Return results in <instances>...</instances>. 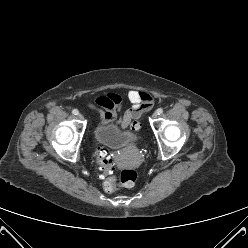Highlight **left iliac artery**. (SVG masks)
<instances>
[{"label":"left iliac artery","instance_id":"1","mask_svg":"<svg viewBox=\"0 0 248 248\" xmlns=\"http://www.w3.org/2000/svg\"><path fill=\"white\" fill-rule=\"evenodd\" d=\"M156 112H157L158 115H160V114L163 113V109H162V108H158V109L156 110Z\"/></svg>","mask_w":248,"mask_h":248}]
</instances>
